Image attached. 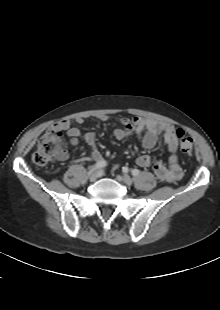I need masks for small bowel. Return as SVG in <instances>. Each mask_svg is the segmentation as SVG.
<instances>
[{
    "label": "small bowel",
    "instance_id": "small-bowel-1",
    "mask_svg": "<svg viewBox=\"0 0 220 310\" xmlns=\"http://www.w3.org/2000/svg\"><path fill=\"white\" fill-rule=\"evenodd\" d=\"M109 119L107 115L98 116V120L100 121H108ZM76 122L82 124L84 120L82 118H77ZM118 122L122 127L114 130V137L116 139H124L135 133L141 139L143 148L150 150L154 148L158 138L161 136L170 153L168 165L161 161L152 163L148 155H140L136 159L138 166L147 168L152 165L155 177L164 182L175 183L183 177V171L179 164L178 138L176 135L179 129L176 126L170 123L141 117L132 119L123 117L120 118ZM52 130L65 132L69 137L70 145L73 147L79 144V140H83L91 147L92 160L96 163L103 161V156L97 147V138L94 132L83 133L80 129L73 126V122L68 119L61 120L54 124Z\"/></svg>",
    "mask_w": 220,
    "mask_h": 310
}]
</instances>
